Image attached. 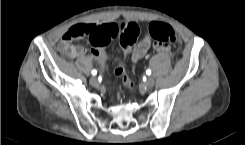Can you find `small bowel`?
<instances>
[{"instance_id":"1","label":"small bowel","mask_w":245,"mask_h":145,"mask_svg":"<svg viewBox=\"0 0 245 145\" xmlns=\"http://www.w3.org/2000/svg\"><path fill=\"white\" fill-rule=\"evenodd\" d=\"M88 25H91L93 29L97 31L95 39L92 41L93 46L90 49H86L81 45H74L70 41L63 39L59 43V51L68 58H76L88 52L92 57L102 63L104 60V47L110 42L109 27L118 26L119 24L115 22H105L99 24L91 23ZM152 47L156 48L160 52L167 50L162 44L159 43L152 44L150 42H140L132 51V60H140Z\"/></svg>"}]
</instances>
